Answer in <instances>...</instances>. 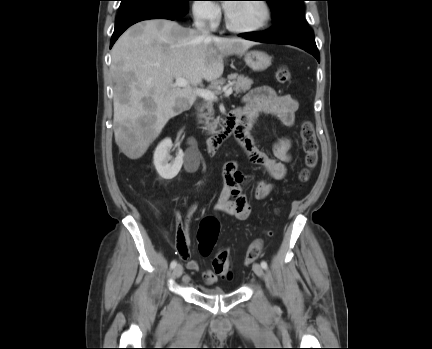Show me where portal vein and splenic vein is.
<instances>
[{
    "mask_svg": "<svg viewBox=\"0 0 432 349\" xmlns=\"http://www.w3.org/2000/svg\"><path fill=\"white\" fill-rule=\"evenodd\" d=\"M174 85L176 87H186L188 85V81L185 78L177 76ZM196 93H197V95L203 97L206 100H216L217 99V97L215 96V93L211 90L199 88V89H196ZM232 93H233L232 87L227 88L224 91V96H229Z\"/></svg>",
    "mask_w": 432,
    "mask_h": 349,
    "instance_id": "1",
    "label": "portal vein and splenic vein"
}]
</instances>
